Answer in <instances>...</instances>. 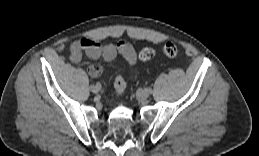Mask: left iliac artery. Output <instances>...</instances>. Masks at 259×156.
I'll return each instance as SVG.
<instances>
[{"label": "left iliac artery", "instance_id": "44dca946", "mask_svg": "<svg viewBox=\"0 0 259 156\" xmlns=\"http://www.w3.org/2000/svg\"><path fill=\"white\" fill-rule=\"evenodd\" d=\"M148 92H149V94H152V93H153V90H152L151 87H148Z\"/></svg>", "mask_w": 259, "mask_h": 156}]
</instances>
